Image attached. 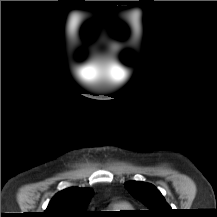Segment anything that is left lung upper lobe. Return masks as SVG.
I'll return each mask as SVG.
<instances>
[{
    "instance_id": "1",
    "label": "left lung upper lobe",
    "mask_w": 217,
    "mask_h": 217,
    "mask_svg": "<svg viewBox=\"0 0 217 217\" xmlns=\"http://www.w3.org/2000/svg\"><path fill=\"white\" fill-rule=\"evenodd\" d=\"M126 189L149 210V217H168L173 210L167 204L160 191L152 184L141 181H128Z\"/></svg>"
}]
</instances>
